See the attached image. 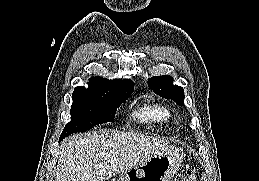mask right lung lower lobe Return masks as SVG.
<instances>
[{
  "instance_id": "1",
  "label": "right lung lower lobe",
  "mask_w": 259,
  "mask_h": 181,
  "mask_svg": "<svg viewBox=\"0 0 259 181\" xmlns=\"http://www.w3.org/2000/svg\"><path fill=\"white\" fill-rule=\"evenodd\" d=\"M61 140H63V138L60 137V138H59V142H60Z\"/></svg>"
}]
</instances>
